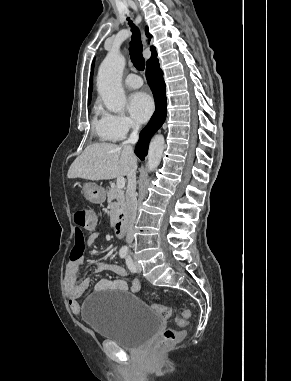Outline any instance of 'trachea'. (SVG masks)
I'll return each instance as SVG.
<instances>
[{"label":"trachea","mask_w":291,"mask_h":381,"mask_svg":"<svg viewBox=\"0 0 291 381\" xmlns=\"http://www.w3.org/2000/svg\"><path fill=\"white\" fill-rule=\"evenodd\" d=\"M132 30V37L130 42V57L134 67L140 71L145 68V59L142 55V42L139 29L129 21Z\"/></svg>","instance_id":"1"}]
</instances>
